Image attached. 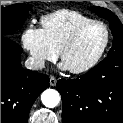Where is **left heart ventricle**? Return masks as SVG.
<instances>
[{
  "label": "left heart ventricle",
  "mask_w": 123,
  "mask_h": 123,
  "mask_svg": "<svg viewBox=\"0 0 123 123\" xmlns=\"http://www.w3.org/2000/svg\"><path fill=\"white\" fill-rule=\"evenodd\" d=\"M103 27L94 25L85 30L76 44L67 52L64 64L67 68H80L91 62L105 42Z\"/></svg>",
  "instance_id": "obj_1"
}]
</instances>
